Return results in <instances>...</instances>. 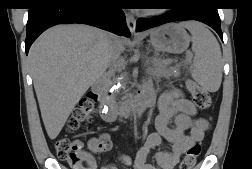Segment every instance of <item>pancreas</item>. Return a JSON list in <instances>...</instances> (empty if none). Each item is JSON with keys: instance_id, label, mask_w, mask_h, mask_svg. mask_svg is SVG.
<instances>
[{"instance_id": "1", "label": "pancreas", "mask_w": 252, "mask_h": 169, "mask_svg": "<svg viewBox=\"0 0 252 169\" xmlns=\"http://www.w3.org/2000/svg\"><path fill=\"white\" fill-rule=\"evenodd\" d=\"M171 60L165 62V60L161 59H154L153 61V69L152 73L156 76H163V77H172V76H178L179 71H178V65L177 66H170ZM123 98H126L123 97Z\"/></svg>"}]
</instances>
